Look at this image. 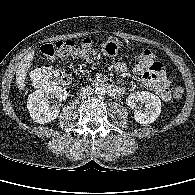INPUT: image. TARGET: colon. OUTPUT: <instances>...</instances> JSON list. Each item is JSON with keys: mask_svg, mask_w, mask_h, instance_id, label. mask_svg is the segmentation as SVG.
Returning a JSON list of instances; mask_svg holds the SVG:
<instances>
[{"mask_svg": "<svg viewBox=\"0 0 195 195\" xmlns=\"http://www.w3.org/2000/svg\"><path fill=\"white\" fill-rule=\"evenodd\" d=\"M41 53L47 59L78 57L90 61L95 58V48L89 39H83L78 43L71 40L46 43L42 45ZM136 63L143 65L151 72L161 73L164 70L163 63L149 50L138 53ZM30 78L35 85L46 87L68 84L70 74L61 68L43 65L32 70ZM183 94L184 90L181 87L173 90L175 100H180Z\"/></svg>", "mask_w": 195, "mask_h": 195, "instance_id": "obj_1", "label": "colon"}]
</instances>
